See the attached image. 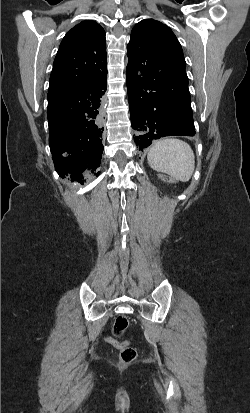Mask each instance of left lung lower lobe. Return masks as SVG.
Returning a JSON list of instances; mask_svg holds the SVG:
<instances>
[{"mask_svg": "<svg viewBox=\"0 0 250 413\" xmlns=\"http://www.w3.org/2000/svg\"><path fill=\"white\" fill-rule=\"evenodd\" d=\"M154 40L127 50V90L134 142L143 151L152 140L170 135L194 136L187 76L156 66Z\"/></svg>", "mask_w": 250, "mask_h": 413, "instance_id": "left-lung-lower-lobe-1", "label": "left lung lower lobe"}]
</instances>
